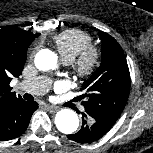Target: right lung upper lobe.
Segmentation results:
<instances>
[{
  "label": "right lung upper lobe",
  "instance_id": "1",
  "mask_svg": "<svg viewBox=\"0 0 153 153\" xmlns=\"http://www.w3.org/2000/svg\"><path fill=\"white\" fill-rule=\"evenodd\" d=\"M39 34L7 26L0 29V110L8 103L22 99L11 92L10 82L18 77L26 61L27 48Z\"/></svg>",
  "mask_w": 153,
  "mask_h": 153
}]
</instances>
